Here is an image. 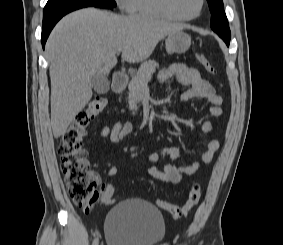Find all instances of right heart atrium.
<instances>
[{"label":"right heart atrium","mask_w":283,"mask_h":245,"mask_svg":"<svg viewBox=\"0 0 283 245\" xmlns=\"http://www.w3.org/2000/svg\"><path fill=\"white\" fill-rule=\"evenodd\" d=\"M118 7L122 10L126 9L128 0H115Z\"/></svg>","instance_id":"right-heart-atrium-1"}]
</instances>
